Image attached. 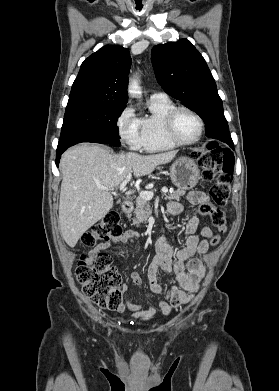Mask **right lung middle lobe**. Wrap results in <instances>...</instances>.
<instances>
[{"mask_svg":"<svg viewBox=\"0 0 279 391\" xmlns=\"http://www.w3.org/2000/svg\"><path fill=\"white\" fill-rule=\"evenodd\" d=\"M125 106H86L66 110L58 148L112 136L118 138L117 120Z\"/></svg>","mask_w":279,"mask_h":391,"instance_id":"1","label":"right lung middle lobe"}]
</instances>
